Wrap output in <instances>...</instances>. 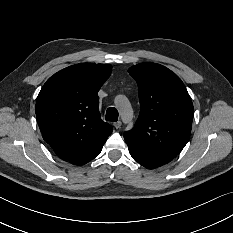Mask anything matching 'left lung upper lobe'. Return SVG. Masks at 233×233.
<instances>
[{
    "instance_id": "obj_1",
    "label": "left lung upper lobe",
    "mask_w": 233,
    "mask_h": 233,
    "mask_svg": "<svg viewBox=\"0 0 233 233\" xmlns=\"http://www.w3.org/2000/svg\"><path fill=\"white\" fill-rule=\"evenodd\" d=\"M138 84L140 114L124 138L160 154L175 157L190 138L193 104L181 79L151 62L132 66Z\"/></svg>"
}]
</instances>
